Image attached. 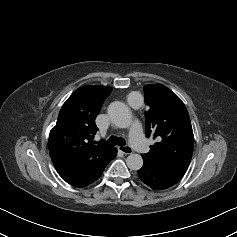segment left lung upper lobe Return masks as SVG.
Instances as JSON below:
<instances>
[{
  "label": "left lung upper lobe",
  "instance_id": "left-lung-upper-lobe-1",
  "mask_svg": "<svg viewBox=\"0 0 237 237\" xmlns=\"http://www.w3.org/2000/svg\"><path fill=\"white\" fill-rule=\"evenodd\" d=\"M144 94L146 136L157 142L142 157L185 173L193 154L194 136L184 103L162 84L145 85Z\"/></svg>",
  "mask_w": 237,
  "mask_h": 237
}]
</instances>
